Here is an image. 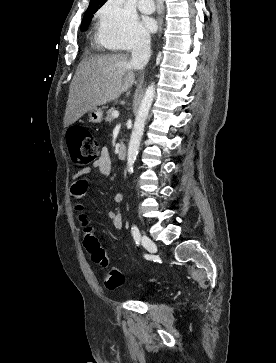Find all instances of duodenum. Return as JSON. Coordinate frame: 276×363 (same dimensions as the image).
Returning <instances> with one entry per match:
<instances>
[{"instance_id": "410a0bca", "label": "duodenum", "mask_w": 276, "mask_h": 363, "mask_svg": "<svg viewBox=\"0 0 276 363\" xmlns=\"http://www.w3.org/2000/svg\"><path fill=\"white\" fill-rule=\"evenodd\" d=\"M126 153V146L123 142H121L118 147V158L124 159L126 157Z\"/></svg>"}]
</instances>
